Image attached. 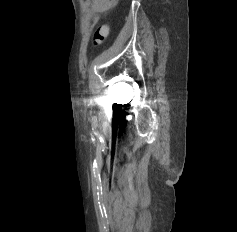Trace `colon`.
Masks as SVG:
<instances>
[{
  "label": "colon",
  "mask_w": 237,
  "mask_h": 232,
  "mask_svg": "<svg viewBox=\"0 0 237 232\" xmlns=\"http://www.w3.org/2000/svg\"><path fill=\"white\" fill-rule=\"evenodd\" d=\"M108 34V28L106 26H101L97 29L94 35V44L97 45L101 43Z\"/></svg>",
  "instance_id": "5ec220e1"
}]
</instances>
